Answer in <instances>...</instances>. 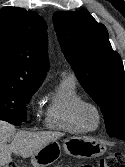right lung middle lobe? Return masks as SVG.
Listing matches in <instances>:
<instances>
[{"mask_svg": "<svg viewBox=\"0 0 125 167\" xmlns=\"http://www.w3.org/2000/svg\"><path fill=\"white\" fill-rule=\"evenodd\" d=\"M37 90L0 86V120L20 125L26 121V104Z\"/></svg>", "mask_w": 125, "mask_h": 167, "instance_id": "dd1d6c3e", "label": "right lung middle lobe"}]
</instances>
